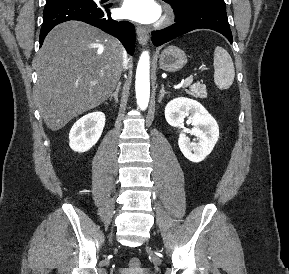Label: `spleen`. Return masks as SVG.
Returning a JSON list of instances; mask_svg holds the SVG:
<instances>
[{"label":"spleen","instance_id":"spleen-1","mask_svg":"<svg viewBox=\"0 0 289 274\" xmlns=\"http://www.w3.org/2000/svg\"><path fill=\"white\" fill-rule=\"evenodd\" d=\"M214 82L219 89H228L235 77V69L232 58L222 47H216L214 51Z\"/></svg>","mask_w":289,"mask_h":274}]
</instances>
